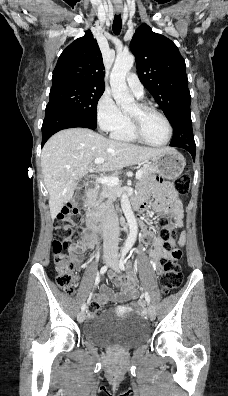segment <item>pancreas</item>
<instances>
[{
    "instance_id": "obj_1",
    "label": "pancreas",
    "mask_w": 228,
    "mask_h": 396,
    "mask_svg": "<svg viewBox=\"0 0 228 396\" xmlns=\"http://www.w3.org/2000/svg\"><path fill=\"white\" fill-rule=\"evenodd\" d=\"M143 174L141 180H144L156 173V168L152 164H146L142 168ZM118 190L115 187L102 185L92 196V213L99 218H103L107 206L116 198Z\"/></svg>"
}]
</instances>
